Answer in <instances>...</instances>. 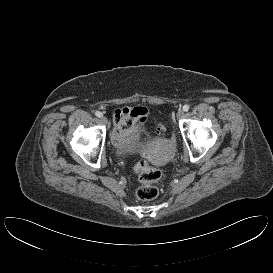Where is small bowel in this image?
Returning <instances> with one entry per match:
<instances>
[{
  "label": "small bowel",
  "mask_w": 273,
  "mask_h": 273,
  "mask_svg": "<svg viewBox=\"0 0 273 273\" xmlns=\"http://www.w3.org/2000/svg\"><path fill=\"white\" fill-rule=\"evenodd\" d=\"M148 116L145 107L123 108L117 109L113 113L114 129L112 132V140L120 143L124 140H135Z\"/></svg>",
  "instance_id": "1"
}]
</instances>
